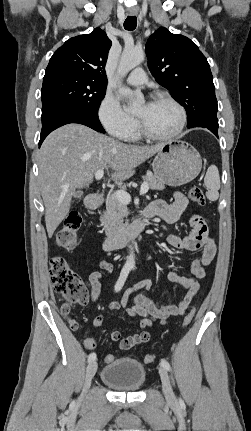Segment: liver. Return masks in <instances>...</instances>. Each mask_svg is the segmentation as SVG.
Masks as SVG:
<instances>
[{
	"label": "liver",
	"mask_w": 251,
	"mask_h": 431,
	"mask_svg": "<svg viewBox=\"0 0 251 431\" xmlns=\"http://www.w3.org/2000/svg\"><path fill=\"white\" fill-rule=\"evenodd\" d=\"M163 145L125 144L76 123L53 131L38 152V185L48 237L69 213L76 189L88 187L99 169L109 167L113 181H124Z\"/></svg>",
	"instance_id": "6515ba94"
}]
</instances>
